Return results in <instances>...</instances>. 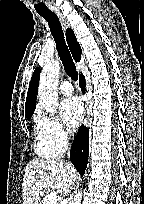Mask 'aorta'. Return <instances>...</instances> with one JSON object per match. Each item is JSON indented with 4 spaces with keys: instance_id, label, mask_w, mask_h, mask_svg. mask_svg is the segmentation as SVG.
Returning <instances> with one entry per match:
<instances>
[{
    "instance_id": "1",
    "label": "aorta",
    "mask_w": 144,
    "mask_h": 204,
    "mask_svg": "<svg viewBox=\"0 0 144 204\" xmlns=\"http://www.w3.org/2000/svg\"><path fill=\"white\" fill-rule=\"evenodd\" d=\"M60 72V64L58 62L45 63L39 80V103L40 105L53 115L58 105V77ZM82 191L74 195L69 204H81Z\"/></svg>"
}]
</instances>
